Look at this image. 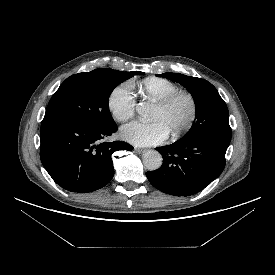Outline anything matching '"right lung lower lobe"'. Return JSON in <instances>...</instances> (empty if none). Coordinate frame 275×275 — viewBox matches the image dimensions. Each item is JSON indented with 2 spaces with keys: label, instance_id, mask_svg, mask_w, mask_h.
<instances>
[{
  "label": "right lung lower lobe",
  "instance_id": "1",
  "mask_svg": "<svg viewBox=\"0 0 275 275\" xmlns=\"http://www.w3.org/2000/svg\"><path fill=\"white\" fill-rule=\"evenodd\" d=\"M117 126H102L68 118L43 120L40 158L52 179L62 188L88 193L107 185L114 175L112 154L132 150L120 142H103Z\"/></svg>",
  "mask_w": 275,
  "mask_h": 275
}]
</instances>
